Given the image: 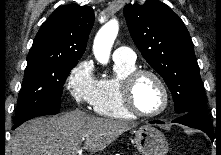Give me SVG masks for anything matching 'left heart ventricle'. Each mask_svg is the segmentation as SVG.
<instances>
[{"label": "left heart ventricle", "mask_w": 221, "mask_h": 155, "mask_svg": "<svg viewBox=\"0 0 221 155\" xmlns=\"http://www.w3.org/2000/svg\"><path fill=\"white\" fill-rule=\"evenodd\" d=\"M134 98L139 109L148 113L159 110L164 101L160 86L149 76L139 79L135 86Z\"/></svg>", "instance_id": "1"}]
</instances>
